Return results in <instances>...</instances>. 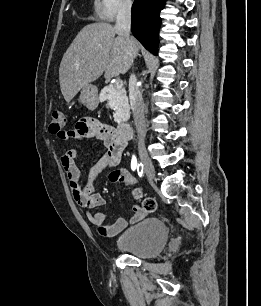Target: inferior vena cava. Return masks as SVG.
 Returning <instances> with one entry per match:
<instances>
[{"instance_id":"inferior-vena-cava-1","label":"inferior vena cava","mask_w":261,"mask_h":306,"mask_svg":"<svg viewBox=\"0 0 261 306\" xmlns=\"http://www.w3.org/2000/svg\"><path fill=\"white\" fill-rule=\"evenodd\" d=\"M115 31L119 36H123L130 41L131 30V2L123 1L118 8L116 16ZM133 62V61H132ZM129 99L133 112L134 123L138 134L145 135V117H144V102L142 93L137 85L135 74H131L129 78Z\"/></svg>"}]
</instances>
